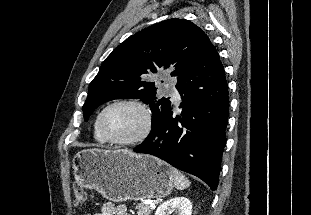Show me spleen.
<instances>
[{"mask_svg":"<svg viewBox=\"0 0 311 215\" xmlns=\"http://www.w3.org/2000/svg\"><path fill=\"white\" fill-rule=\"evenodd\" d=\"M170 173H171V177H172L173 182H174V186L178 190H184L190 186L191 182L188 180V178H186V176L183 175L176 168L170 167Z\"/></svg>","mask_w":311,"mask_h":215,"instance_id":"3e777b00","label":"spleen"}]
</instances>
